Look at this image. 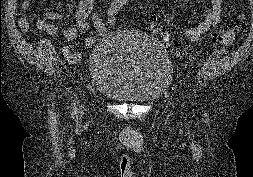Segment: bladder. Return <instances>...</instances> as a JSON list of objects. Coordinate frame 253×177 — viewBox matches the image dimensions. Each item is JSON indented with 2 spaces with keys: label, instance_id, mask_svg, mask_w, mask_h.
Masks as SVG:
<instances>
[{
  "label": "bladder",
  "instance_id": "bladder-1",
  "mask_svg": "<svg viewBox=\"0 0 253 177\" xmlns=\"http://www.w3.org/2000/svg\"><path fill=\"white\" fill-rule=\"evenodd\" d=\"M172 63L155 38L132 31L113 32L90 58V73L98 94L117 102L157 100L172 78Z\"/></svg>",
  "mask_w": 253,
  "mask_h": 177
}]
</instances>
